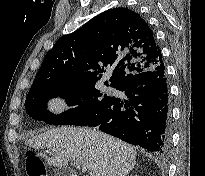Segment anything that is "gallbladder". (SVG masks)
<instances>
[{"mask_svg":"<svg viewBox=\"0 0 205 176\" xmlns=\"http://www.w3.org/2000/svg\"><path fill=\"white\" fill-rule=\"evenodd\" d=\"M54 176H70V170L58 167L54 170Z\"/></svg>","mask_w":205,"mask_h":176,"instance_id":"bac80fb5","label":"gallbladder"}]
</instances>
